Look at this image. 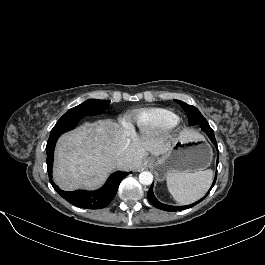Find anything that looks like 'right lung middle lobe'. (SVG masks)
Instances as JSON below:
<instances>
[{
  "mask_svg": "<svg viewBox=\"0 0 265 265\" xmlns=\"http://www.w3.org/2000/svg\"><path fill=\"white\" fill-rule=\"evenodd\" d=\"M110 101L108 100H97L89 99L82 104L68 110L58 122H64L65 120L80 117L83 118L87 115H99L105 112L108 108Z\"/></svg>",
  "mask_w": 265,
  "mask_h": 265,
  "instance_id": "1",
  "label": "right lung middle lobe"
}]
</instances>
